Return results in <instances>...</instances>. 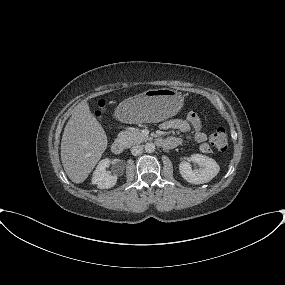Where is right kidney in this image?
<instances>
[{
    "label": "right kidney",
    "instance_id": "1",
    "mask_svg": "<svg viewBox=\"0 0 285 285\" xmlns=\"http://www.w3.org/2000/svg\"><path fill=\"white\" fill-rule=\"evenodd\" d=\"M110 159L101 160L92 176V184L97 185L99 189H109L117 182V175H111L106 171V168L111 164Z\"/></svg>",
    "mask_w": 285,
    "mask_h": 285
}]
</instances>
